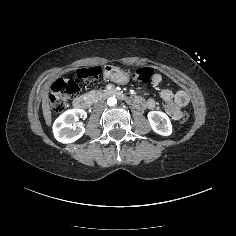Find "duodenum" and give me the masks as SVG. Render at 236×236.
I'll return each instance as SVG.
<instances>
[{"instance_id":"1","label":"duodenum","mask_w":236,"mask_h":236,"mask_svg":"<svg viewBox=\"0 0 236 236\" xmlns=\"http://www.w3.org/2000/svg\"><path fill=\"white\" fill-rule=\"evenodd\" d=\"M105 96H116L122 100H125L128 102L130 105L134 106L137 109H143L146 107L147 103L144 102L142 99L135 97V96H130L126 95L122 92H119L115 89H107L104 91ZM89 106V102L85 97H76L73 100V107L77 110H85ZM172 108V106L170 107Z\"/></svg>"}]
</instances>
